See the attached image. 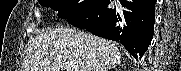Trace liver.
I'll return each instance as SVG.
<instances>
[{
	"instance_id": "liver-1",
	"label": "liver",
	"mask_w": 181,
	"mask_h": 71,
	"mask_svg": "<svg viewBox=\"0 0 181 71\" xmlns=\"http://www.w3.org/2000/svg\"><path fill=\"white\" fill-rule=\"evenodd\" d=\"M115 43L73 28L59 27L37 35L27 49L23 71H109L119 65Z\"/></svg>"
}]
</instances>
